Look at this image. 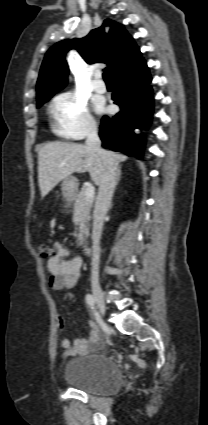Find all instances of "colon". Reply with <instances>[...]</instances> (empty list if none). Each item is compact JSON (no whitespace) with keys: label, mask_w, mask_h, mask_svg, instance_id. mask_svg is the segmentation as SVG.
I'll list each match as a JSON object with an SVG mask.
<instances>
[{"label":"colon","mask_w":208,"mask_h":425,"mask_svg":"<svg viewBox=\"0 0 208 425\" xmlns=\"http://www.w3.org/2000/svg\"><path fill=\"white\" fill-rule=\"evenodd\" d=\"M39 252L42 257H51L54 255V249L46 244L39 246Z\"/></svg>","instance_id":"5ec220e1"}]
</instances>
